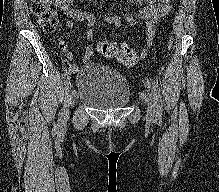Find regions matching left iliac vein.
<instances>
[{
  "label": "left iliac vein",
  "instance_id": "1",
  "mask_svg": "<svg viewBox=\"0 0 219 192\" xmlns=\"http://www.w3.org/2000/svg\"><path fill=\"white\" fill-rule=\"evenodd\" d=\"M141 98L147 103L148 106V116L154 118L157 114V107L155 98L151 93L142 92Z\"/></svg>",
  "mask_w": 219,
  "mask_h": 192
}]
</instances>
